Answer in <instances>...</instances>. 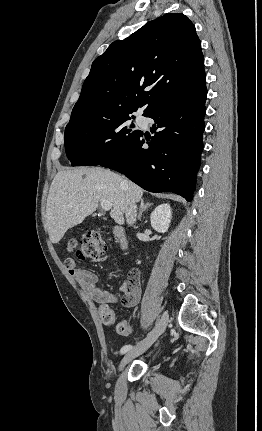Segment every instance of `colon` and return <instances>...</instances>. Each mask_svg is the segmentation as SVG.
<instances>
[{"instance_id":"5ec220e1","label":"colon","mask_w":262,"mask_h":431,"mask_svg":"<svg viewBox=\"0 0 262 431\" xmlns=\"http://www.w3.org/2000/svg\"><path fill=\"white\" fill-rule=\"evenodd\" d=\"M67 250L73 252L80 261H93L106 253L108 245L97 232H93L81 239H70L67 244ZM101 319L107 324L114 323L113 317L106 314L101 315ZM116 331L120 335H128L131 328L127 322L120 321L116 324Z\"/></svg>"}]
</instances>
